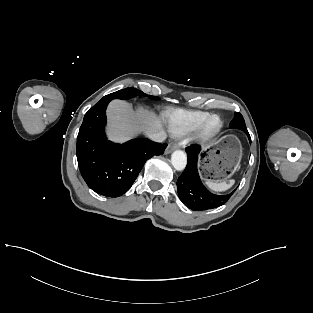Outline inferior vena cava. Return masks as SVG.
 <instances>
[{"label": "inferior vena cava", "instance_id": "1", "mask_svg": "<svg viewBox=\"0 0 313 313\" xmlns=\"http://www.w3.org/2000/svg\"><path fill=\"white\" fill-rule=\"evenodd\" d=\"M146 135L150 140L155 142H163L166 138V134L163 130L147 131Z\"/></svg>", "mask_w": 313, "mask_h": 313}]
</instances>
